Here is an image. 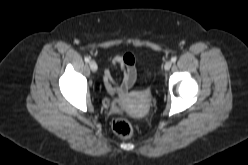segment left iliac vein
<instances>
[{"label":"left iliac vein","instance_id":"1","mask_svg":"<svg viewBox=\"0 0 248 165\" xmlns=\"http://www.w3.org/2000/svg\"><path fill=\"white\" fill-rule=\"evenodd\" d=\"M171 66H172V63L170 61H167L164 65V69L167 71L171 68Z\"/></svg>","mask_w":248,"mask_h":165}]
</instances>
